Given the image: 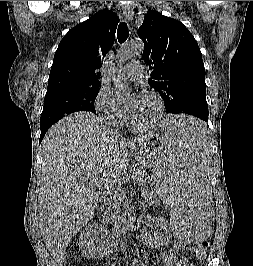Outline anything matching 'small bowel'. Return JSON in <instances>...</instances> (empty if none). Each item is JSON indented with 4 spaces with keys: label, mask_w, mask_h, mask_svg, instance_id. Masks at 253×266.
<instances>
[{
    "label": "small bowel",
    "mask_w": 253,
    "mask_h": 266,
    "mask_svg": "<svg viewBox=\"0 0 253 266\" xmlns=\"http://www.w3.org/2000/svg\"><path fill=\"white\" fill-rule=\"evenodd\" d=\"M180 248L173 247L170 253L162 254L161 258L165 266H186L182 263V260L179 257ZM133 266H144L143 263L137 261Z\"/></svg>",
    "instance_id": "small-bowel-1"
}]
</instances>
